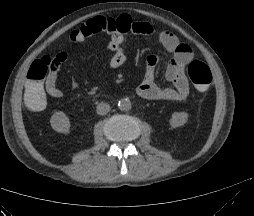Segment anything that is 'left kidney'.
Masks as SVG:
<instances>
[{
	"label": "left kidney",
	"mask_w": 254,
	"mask_h": 216,
	"mask_svg": "<svg viewBox=\"0 0 254 216\" xmlns=\"http://www.w3.org/2000/svg\"><path fill=\"white\" fill-rule=\"evenodd\" d=\"M189 114L185 111L182 112H174L169 121L171 127L176 128L183 126L189 120Z\"/></svg>",
	"instance_id": "1"
}]
</instances>
